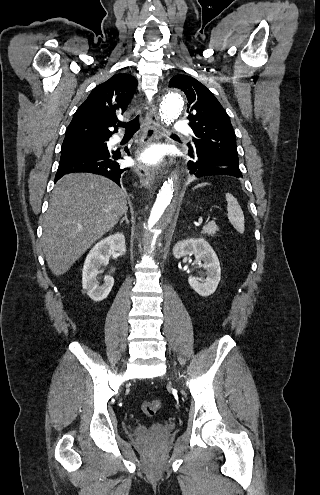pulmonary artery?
<instances>
[{
  "label": "pulmonary artery",
  "instance_id": "e3ab8cb5",
  "mask_svg": "<svg viewBox=\"0 0 320 495\" xmlns=\"http://www.w3.org/2000/svg\"><path fill=\"white\" fill-rule=\"evenodd\" d=\"M187 123L184 120L177 121L174 124V129L177 131H185L187 129ZM121 140L120 137H114L113 142H119Z\"/></svg>",
  "mask_w": 320,
  "mask_h": 495
}]
</instances>
